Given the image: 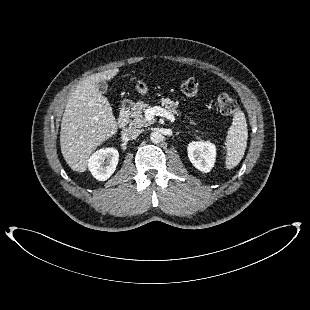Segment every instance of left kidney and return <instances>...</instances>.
I'll list each match as a JSON object with an SVG mask.
<instances>
[{
    "label": "left kidney",
    "mask_w": 310,
    "mask_h": 310,
    "mask_svg": "<svg viewBox=\"0 0 310 310\" xmlns=\"http://www.w3.org/2000/svg\"><path fill=\"white\" fill-rule=\"evenodd\" d=\"M187 151L190 162L201 172L208 173L214 167L216 147L211 142H191Z\"/></svg>",
    "instance_id": "obj_1"
}]
</instances>
